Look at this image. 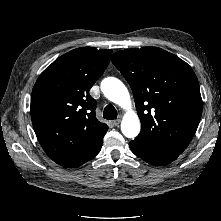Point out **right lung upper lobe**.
<instances>
[{"mask_svg":"<svg viewBox=\"0 0 221 221\" xmlns=\"http://www.w3.org/2000/svg\"><path fill=\"white\" fill-rule=\"evenodd\" d=\"M111 49H74L55 60L37 79L31 118L46 154L57 164L78 167L95 157L108 126L96 119L89 90L109 64Z\"/></svg>","mask_w":221,"mask_h":221,"instance_id":"cb5924a9","label":"right lung upper lobe"}]
</instances>
